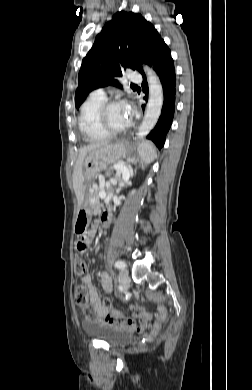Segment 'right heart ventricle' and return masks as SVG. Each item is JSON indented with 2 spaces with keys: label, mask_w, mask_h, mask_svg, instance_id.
<instances>
[{
  "label": "right heart ventricle",
  "mask_w": 252,
  "mask_h": 390,
  "mask_svg": "<svg viewBox=\"0 0 252 390\" xmlns=\"http://www.w3.org/2000/svg\"><path fill=\"white\" fill-rule=\"evenodd\" d=\"M106 98L90 95L81 105L79 129L89 142L107 140L110 136L104 133L98 125L97 113Z\"/></svg>",
  "instance_id": "obj_1"
}]
</instances>
